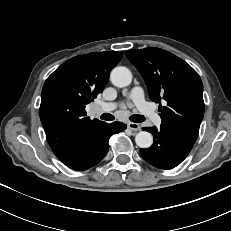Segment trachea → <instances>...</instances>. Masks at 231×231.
I'll use <instances>...</instances> for the list:
<instances>
[{
  "label": "trachea",
  "instance_id": "3493384b",
  "mask_svg": "<svg viewBox=\"0 0 231 231\" xmlns=\"http://www.w3.org/2000/svg\"><path fill=\"white\" fill-rule=\"evenodd\" d=\"M102 120H106V121H112L115 119V117L110 114V113H104L101 115L100 117ZM129 119L132 121V122H135V123H141V122H144L145 121V117L142 116V115H139V114H134V115H131L129 117Z\"/></svg>",
  "mask_w": 231,
  "mask_h": 231
}]
</instances>
